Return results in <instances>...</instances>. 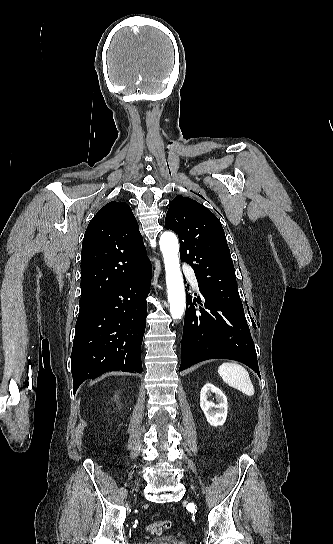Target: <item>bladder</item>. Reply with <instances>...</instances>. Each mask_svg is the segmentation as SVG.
<instances>
[{"label": "bladder", "mask_w": 333, "mask_h": 544, "mask_svg": "<svg viewBox=\"0 0 333 544\" xmlns=\"http://www.w3.org/2000/svg\"><path fill=\"white\" fill-rule=\"evenodd\" d=\"M146 544H187V542L175 535H162L151 539Z\"/></svg>", "instance_id": "bladder-1"}]
</instances>
